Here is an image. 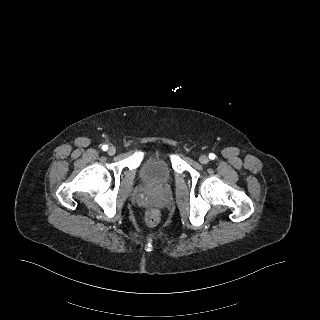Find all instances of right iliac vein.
I'll use <instances>...</instances> for the list:
<instances>
[{
  "mask_svg": "<svg viewBox=\"0 0 320 320\" xmlns=\"http://www.w3.org/2000/svg\"><path fill=\"white\" fill-rule=\"evenodd\" d=\"M115 152H116V149H115V147H113V146H111V147L108 149V154H109V155H114Z\"/></svg>",
  "mask_w": 320,
  "mask_h": 320,
  "instance_id": "right-iliac-vein-1",
  "label": "right iliac vein"
}]
</instances>
